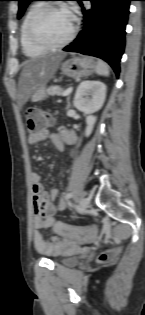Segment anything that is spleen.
Returning <instances> with one entry per match:
<instances>
[{
    "instance_id": "1",
    "label": "spleen",
    "mask_w": 145,
    "mask_h": 315,
    "mask_svg": "<svg viewBox=\"0 0 145 315\" xmlns=\"http://www.w3.org/2000/svg\"><path fill=\"white\" fill-rule=\"evenodd\" d=\"M95 72L101 76H109L110 71L108 64L102 60H98Z\"/></svg>"
}]
</instances>
